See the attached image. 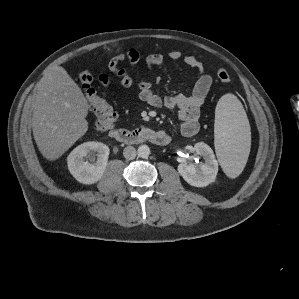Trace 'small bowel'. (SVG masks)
<instances>
[{
    "label": "small bowel",
    "mask_w": 299,
    "mask_h": 299,
    "mask_svg": "<svg viewBox=\"0 0 299 299\" xmlns=\"http://www.w3.org/2000/svg\"><path fill=\"white\" fill-rule=\"evenodd\" d=\"M173 61L182 60L187 66L198 72V78L194 88L189 94H176L160 96L153 90V82L142 80L138 82L140 99L152 107H165L174 110L180 120V130L184 136L190 137L195 135L199 130L200 110L212 85V77L204 70V66L195 56H182L180 51H171L168 55ZM141 55L136 49H129L126 52L113 56L108 62L109 70L120 78L122 86L130 88L134 85V79L126 69L121 67L123 61L130 65H136L140 62ZM145 66L148 71H153L164 62V56L160 53L150 54L145 58ZM159 77L154 78L158 83ZM99 82L107 87L109 79L107 75L100 74Z\"/></svg>",
    "instance_id": "1"
}]
</instances>
